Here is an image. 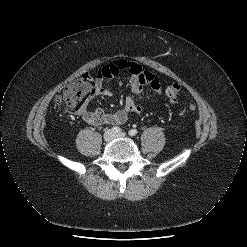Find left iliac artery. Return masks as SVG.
Returning a JSON list of instances; mask_svg holds the SVG:
<instances>
[{"label":"left iliac artery","instance_id":"44dca946","mask_svg":"<svg viewBox=\"0 0 247 247\" xmlns=\"http://www.w3.org/2000/svg\"><path fill=\"white\" fill-rule=\"evenodd\" d=\"M137 133H138V131L136 129H132L129 131L130 136H135Z\"/></svg>","mask_w":247,"mask_h":247}]
</instances>
